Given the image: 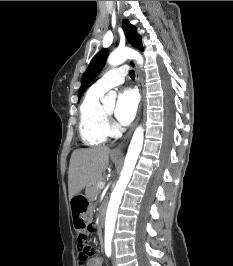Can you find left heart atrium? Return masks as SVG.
Here are the masks:
<instances>
[{"mask_svg": "<svg viewBox=\"0 0 233 266\" xmlns=\"http://www.w3.org/2000/svg\"><path fill=\"white\" fill-rule=\"evenodd\" d=\"M138 107V95L130 88L124 89L118 97L115 117L121 125H128L134 119Z\"/></svg>", "mask_w": 233, "mask_h": 266, "instance_id": "1", "label": "left heart atrium"}]
</instances>
